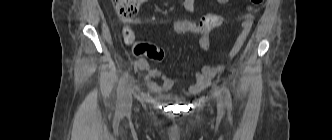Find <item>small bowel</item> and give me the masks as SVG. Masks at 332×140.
<instances>
[{"mask_svg":"<svg viewBox=\"0 0 332 140\" xmlns=\"http://www.w3.org/2000/svg\"><path fill=\"white\" fill-rule=\"evenodd\" d=\"M219 4H227L229 0H216ZM185 9L191 13L195 14L194 0H185ZM254 17L252 15H246L241 23L240 33L223 61L219 64H208L205 65L199 72L195 74L196 82L190 86L186 94H195L207 87L212 79L224 69L226 64L240 51L245 40L247 39L251 27L253 25ZM198 45L200 49L207 51L209 49V39L207 35L201 36ZM138 68L145 73L144 79L148 90L153 93L160 95L164 100L179 101L180 98L175 95L169 94L173 87L177 84L178 80L171 78L163 74L158 69L152 68L147 59L141 58L136 62ZM153 78H159L162 80V84H158L153 81Z\"/></svg>","mask_w":332,"mask_h":140,"instance_id":"small-bowel-1","label":"small bowel"}]
</instances>
